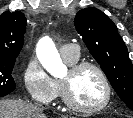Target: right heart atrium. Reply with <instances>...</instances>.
Returning a JSON list of instances; mask_svg holds the SVG:
<instances>
[{
    "label": "right heart atrium",
    "instance_id": "d8ad5b80",
    "mask_svg": "<svg viewBox=\"0 0 133 118\" xmlns=\"http://www.w3.org/2000/svg\"><path fill=\"white\" fill-rule=\"evenodd\" d=\"M23 80L32 99L44 103H51L58 95L57 85L38 60L30 58L24 68Z\"/></svg>",
    "mask_w": 133,
    "mask_h": 118
}]
</instances>
